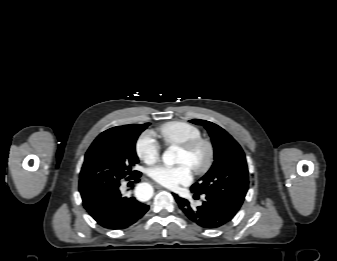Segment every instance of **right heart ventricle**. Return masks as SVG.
<instances>
[{
	"label": "right heart ventricle",
	"mask_w": 337,
	"mask_h": 261,
	"mask_svg": "<svg viewBox=\"0 0 337 261\" xmlns=\"http://www.w3.org/2000/svg\"><path fill=\"white\" fill-rule=\"evenodd\" d=\"M158 133L166 145H181L201 136L200 129L185 121H170L158 127Z\"/></svg>",
	"instance_id": "1"
}]
</instances>
